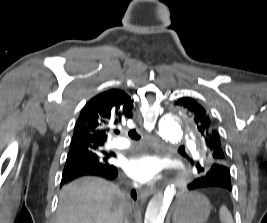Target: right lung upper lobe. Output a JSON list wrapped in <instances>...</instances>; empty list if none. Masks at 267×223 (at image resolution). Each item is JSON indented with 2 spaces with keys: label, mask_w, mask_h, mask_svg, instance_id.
Masks as SVG:
<instances>
[{
  "label": "right lung upper lobe",
  "mask_w": 267,
  "mask_h": 223,
  "mask_svg": "<svg viewBox=\"0 0 267 223\" xmlns=\"http://www.w3.org/2000/svg\"><path fill=\"white\" fill-rule=\"evenodd\" d=\"M133 100L123 90L110 89L93 97L75 125L71 148L93 145L102 148L114 126L133 117Z\"/></svg>",
  "instance_id": "right-lung-upper-lobe-1"
}]
</instances>
